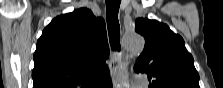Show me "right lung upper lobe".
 <instances>
[{"label": "right lung upper lobe", "instance_id": "obj_1", "mask_svg": "<svg viewBox=\"0 0 223 88\" xmlns=\"http://www.w3.org/2000/svg\"><path fill=\"white\" fill-rule=\"evenodd\" d=\"M105 22L86 8L54 18L34 53L33 88H97L109 76Z\"/></svg>", "mask_w": 223, "mask_h": 88}]
</instances>
